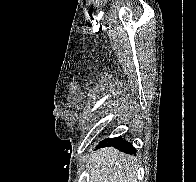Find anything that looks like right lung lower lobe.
I'll return each mask as SVG.
<instances>
[{
  "mask_svg": "<svg viewBox=\"0 0 196 182\" xmlns=\"http://www.w3.org/2000/svg\"><path fill=\"white\" fill-rule=\"evenodd\" d=\"M100 147L105 146H113L117 149H119L122 152H125L127 154H135L136 149L132 146L131 143L128 141L123 140L121 137L111 138V139H105L100 142Z\"/></svg>",
  "mask_w": 196,
  "mask_h": 182,
  "instance_id": "right-lung-lower-lobe-1",
  "label": "right lung lower lobe"
}]
</instances>
